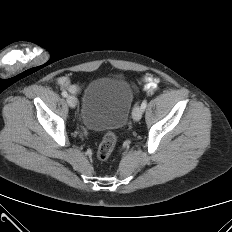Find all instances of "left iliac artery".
Wrapping results in <instances>:
<instances>
[{"mask_svg":"<svg viewBox=\"0 0 232 232\" xmlns=\"http://www.w3.org/2000/svg\"><path fill=\"white\" fill-rule=\"evenodd\" d=\"M146 106H147V100H144L141 104V108L143 109V111L145 110Z\"/></svg>","mask_w":232,"mask_h":232,"instance_id":"44dca946","label":"left iliac artery"}]
</instances>
